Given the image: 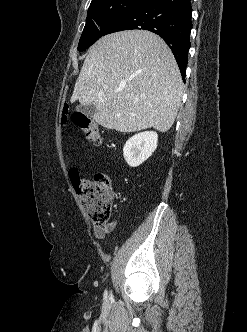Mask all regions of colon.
Instances as JSON below:
<instances>
[{"instance_id":"5ec220e1","label":"colon","mask_w":247,"mask_h":332,"mask_svg":"<svg viewBox=\"0 0 247 332\" xmlns=\"http://www.w3.org/2000/svg\"><path fill=\"white\" fill-rule=\"evenodd\" d=\"M66 113L67 110L65 109L63 122H66ZM71 121L89 141L96 145L102 143L98 125L90 117L81 113H74L71 116ZM71 179L76 193L93 223L96 225L107 223L111 216L113 199L109 177L101 173L92 177H81L73 172Z\"/></svg>"}]
</instances>
